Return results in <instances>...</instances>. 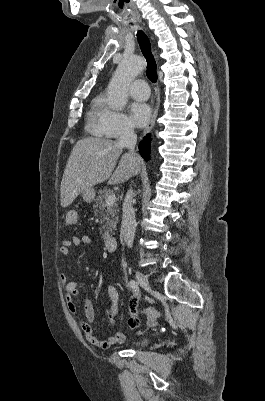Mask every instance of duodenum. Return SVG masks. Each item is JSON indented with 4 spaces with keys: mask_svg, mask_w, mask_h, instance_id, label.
<instances>
[{
    "mask_svg": "<svg viewBox=\"0 0 265 401\" xmlns=\"http://www.w3.org/2000/svg\"><path fill=\"white\" fill-rule=\"evenodd\" d=\"M104 244L108 251L113 252L117 248V239L114 236H109L105 239Z\"/></svg>",
    "mask_w": 265,
    "mask_h": 401,
    "instance_id": "obj_1",
    "label": "duodenum"
}]
</instances>
